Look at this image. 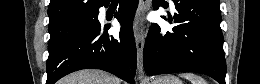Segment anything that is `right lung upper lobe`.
Returning a JSON list of instances; mask_svg holds the SVG:
<instances>
[{
  "label": "right lung upper lobe",
  "instance_id": "1",
  "mask_svg": "<svg viewBox=\"0 0 260 84\" xmlns=\"http://www.w3.org/2000/svg\"><path fill=\"white\" fill-rule=\"evenodd\" d=\"M109 0H50L48 16L49 28L67 23L80 16L99 12Z\"/></svg>",
  "mask_w": 260,
  "mask_h": 84
}]
</instances>
